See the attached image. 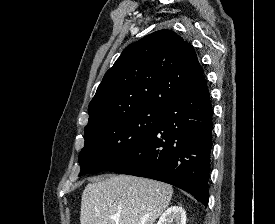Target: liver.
<instances>
[{
    "instance_id": "6515ba94",
    "label": "liver",
    "mask_w": 275,
    "mask_h": 224,
    "mask_svg": "<svg viewBox=\"0 0 275 224\" xmlns=\"http://www.w3.org/2000/svg\"><path fill=\"white\" fill-rule=\"evenodd\" d=\"M172 195L171 185L151 179L117 175L97 180L83 191L80 223L154 224Z\"/></svg>"
}]
</instances>
